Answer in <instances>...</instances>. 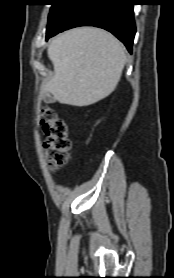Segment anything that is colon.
<instances>
[{"label": "colon", "instance_id": "5ec220e1", "mask_svg": "<svg viewBox=\"0 0 174 278\" xmlns=\"http://www.w3.org/2000/svg\"><path fill=\"white\" fill-rule=\"evenodd\" d=\"M40 124L46 135L44 150L52 170H55L67 162L71 148L67 125L50 107H44L41 110Z\"/></svg>", "mask_w": 174, "mask_h": 278}]
</instances>
